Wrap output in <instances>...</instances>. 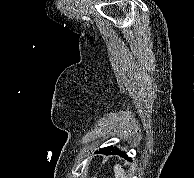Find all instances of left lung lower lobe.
<instances>
[{
	"label": "left lung lower lobe",
	"instance_id": "0a47b994",
	"mask_svg": "<svg viewBox=\"0 0 194 178\" xmlns=\"http://www.w3.org/2000/svg\"><path fill=\"white\" fill-rule=\"evenodd\" d=\"M99 152L100 153H103L105 155L118 154V155L124 156L125 158H127L128 160H130V158L127 157V155L123 151L119 150L118 148H114L112 146L102 148V149H100Z\"/></svg>",
	"mask_w": 194,
	"mask_h": 178
}]
</instances>
